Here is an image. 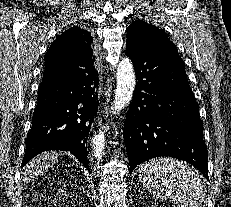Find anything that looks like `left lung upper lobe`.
<instances>
[{
  "mask_svg": "<svg viewBox=\"0 0 231 207\" xmlns=\"http://www.w3.org/2000/svg\"><path fill=\"white\" fill-rule=\"evenodd\" d=\"M126 48L136 52L178 54L176 46L169 40L164 30L142 20H135L127 28Z\"/></svg>",
  "mask_w": 231,
  "mask_h": 207,
  "instance_id": "5c2ea615",
  "label": "left lung upper lobe"
}]
</instances>
